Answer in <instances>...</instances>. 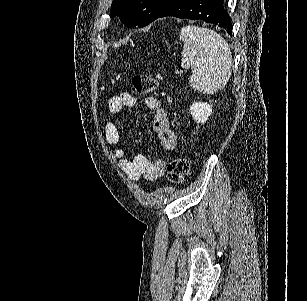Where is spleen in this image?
Listing matches in <instances>:
<instances>
[{
  "label": "spleen",
  "instance_id": "spleen-1",
  "mask_svg": "<svg viewBox=\"0 0 307 301\" xmlns=\"http://www.w3.org/2000/svg\"><path fill=\"white\" fill-rule=\"evenodd\" d=\"M179 40L184 42L181 52L182 68H192L189 84L202 94H214L227 84L232 72L230 46L212 28L187 24L182 26Z\"/></svg>",
  "mask_w": 307,
  "mask_h": 301
}]
</instances>
